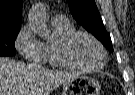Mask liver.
Segmentation results:
<instances>
[{
	"label": "liver",
	"instance_id": "liver-1",
	"mask_svg": "<svg viewBox=\"0 0 135 95\" xmlns=\"http://www.w3.org/2000/svg\"><path fill=\"white\" fill-rule=\"evenodd\" d=\"M79 73L48 70L37 64L0 57V95H50Z\"/></svg>",
	"mask_w": 135,
	"mask_h": 95
}]
</instances>
